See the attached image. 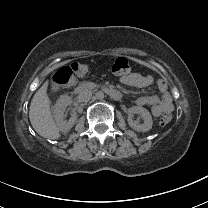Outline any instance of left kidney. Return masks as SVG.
I'll use <instances>...</instances> for the list:
<instances>
[{
  "mask_svg": "<svg viewBox=\"0 0 208 208\" xmlns=\"http://www.w3.org/2000/svg\"><path fill=\"white\" fill-rule=\"evenodd\" d=\"M141 113L144 117L143 124H137V122L131 119V116L134 113ZM128 126L137 132H148L151 130L153 125V120L150 112L141 106H132L128 109V119H127Z\"/></svg>",
  "mask_w": 208,
  "mask_h": 208,
  "instance_id": "5707ae66",
  "label": "left kidney"
}]
</instances>
